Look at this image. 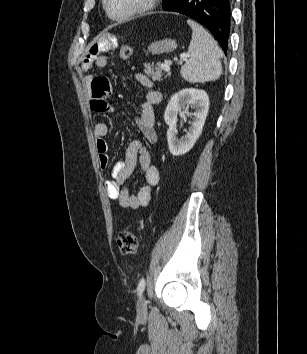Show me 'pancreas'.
I'll list each match as a JSON object with an SVG mask.
<instances>
[{"label": "pancreas", "instance_id": "cf45deb5", "mask_svg": "<svg viewBox=\"0 0 307 354\" xmlns=\"http://www.w3.org/2000/svg\"><path fill=\"white\" fill-rule=\"evenodd\" d=\"M163 66L161 63H157L155 66L146 64L144 72L152 78L153 81H161L162 78H166L167 75L163 72Z\"/></svg>", "mask_w": 307, "mask_h": 354}]
</instances>
